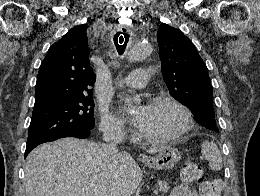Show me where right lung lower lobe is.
<instances>
[{"label": "right lung lower lobe", "instance_id": "right-lung-lower-lobe-1", "mask_svg": "<svg viewBox=\"0 0 260 196\" xmlns=\"http://www.w3.org/2000/svg\"><path fill=\"white\" fill-rule=\"evenodd\" d=\"M90 135V130L88 131H81V132H76L73 133L71 135L65 136V137H76V138H87ZM35 148V147H34ZM33 148H26V152H25V157L28 155V153L32 150Z\"/></svg>", "mask_w": 260, "mask_h": 196}]
</instances>
